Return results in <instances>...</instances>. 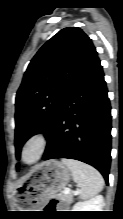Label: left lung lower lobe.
<instances>
[{
  "instance_id": "left-lung-lower-lobe-1",
  "label": "left lung lower lobe",
  "mask_w": 123,
  "mask_h": 219,
  "mask_svg": "<svg viewBox=\"0 0 123 219\" xmlns=\"http://www.w3.org/2000/svg\"><path fill=\"white\" fill-rule=\"evenodd\" d=\"M97 57L77 79L47 137L42 160L68 158L95 167L108 183L111 107Z\"/></svg>"
}]
</instances>
